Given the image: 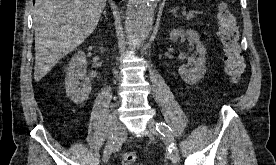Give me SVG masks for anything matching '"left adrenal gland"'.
Instances as JSON below:
<instances>
[{"mask_svg":"<svg viewBox=\"0 0 276 165\" xmlns=\"http://www.w3.org/2000/svg\"><path fill=\"white\" fill-rule=\"evenodd\" d=\"M171 12L173 13V15L176 17V9H172Z\"/></svg>","mask_w":276,"mask_h":165,"instance_id":"1","label":"left adrenal gland"}]
</instances>
